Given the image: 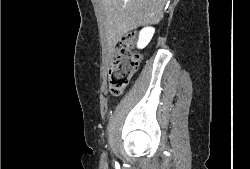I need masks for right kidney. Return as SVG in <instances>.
<instances>
[{
  "mask_svg": "<svg viewBox=\"0 0 250 169\" xmlns=\"http://www.w3.org/2000/svg\"><path fill=\"white\" fill-rule=\"evenodd\" d=\"M154 32L155 28H153V26H145V28H142V30L139 32V38L137 42L138 48H144V46H147Z\"/></svg>",
  "mask_w": 250,
  "mask_h": 169,
  "instance_id": "right-kidney-1",
  "label": "right kidney"
}]
</instances>
